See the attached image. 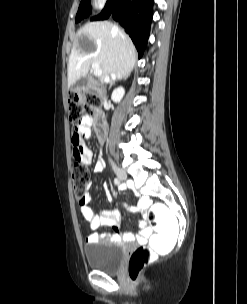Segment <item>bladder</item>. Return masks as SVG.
Wrapping results in <instances>:
<instances>
[{"instance_id": "bladder-1", "label": "bladder", "mask_w": 247, "mask_h": 304, "mask_svg": "<svg viewBox=\"0 0 247 304\" xmlns=\"http://www.w3.org/2000/svg\"><path fill=\"white\" fill-rule=\"evenodd\" d=\"M85 258L91 269L115 273L122 265L124 258V245L109 239H99L89 243L84 248Z\"/></svg>"}]
</instances>
